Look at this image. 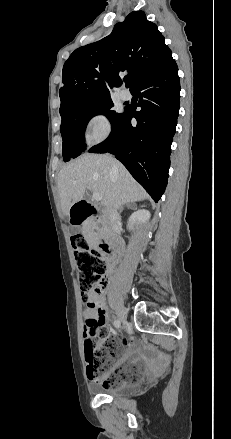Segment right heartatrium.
<instances>
[{"label":"right heart atrium","instance_id":"obj_1","mask_svg":"<svg viewBox=\"0 0 231 439\" xmlns=\"http://www.w3.org/2000/svg\"><path fill=\"white\" fill-rule=\"evenodd\" d=\"M111 132V123L104 112L91 114L85 124L84 136L91 144H98L105 141Z\"/></svg>","mask_w":231,"mask_h":439}]
</instances>
